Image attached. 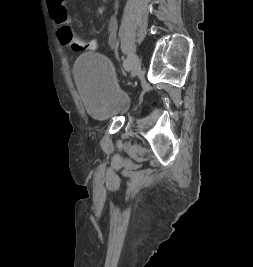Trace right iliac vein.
Masks as SVG:
<instances>
[{"instance_id": "63e3f726", "label": "right iliac vein", "mask_w": 253, "mask_h": 267, "mask_svg": "<svg viewBox=\"0 0 253 267\" xmlns=\"http://www.w3.org/2000/svg\"><path fill=\"white\" fill-rule=\"evenodd\" d=\"M129 60H130L132 75L135 76L140 71V59L136 54H131L129 55Z\"/></svg>"}]
</instances>
